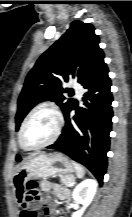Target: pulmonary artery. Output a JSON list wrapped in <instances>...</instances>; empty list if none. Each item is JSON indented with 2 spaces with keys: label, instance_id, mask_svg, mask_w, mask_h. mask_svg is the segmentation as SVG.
<instances>
[{
  "label": "pulmonary artery",
  "instance_id": "1",
  "mask_svg": "<svg viewBox=\"0 0 132 217\" xmlns=\"http://www.w3.org/2000/svg\"><path fill=\"white\" fill-rule=\"evenodd\" d=\"M73 88H74L78 97H81L83 95L84 90L79 84H74Z\"/></svg>",
  "mask_w": 132,
  "mask_h": 217
}]
</instances>
